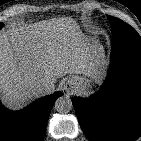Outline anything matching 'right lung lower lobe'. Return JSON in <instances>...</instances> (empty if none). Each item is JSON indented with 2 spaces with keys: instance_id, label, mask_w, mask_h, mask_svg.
I'll return each instance as SVG.
<instances>
[{
  "instance_id": "1",
  "label": "right lung lower lobe",
  "mask_w": 141,
  "mask_h": 141,
  "mask_svg": "<svg viewBox=\"0 0 141 141\" xmlns=\"http://www.w3.org/2000/svg\"><path fill=\"white\" fill-rule=\"evenodd\" d=\"M61 94L41 98L17 112L0 103V141H41L53 103Z\"/></svg>"
}]
</instances>
